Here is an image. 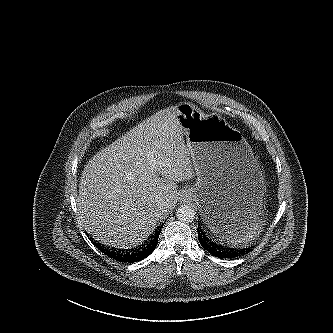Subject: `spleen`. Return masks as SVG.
I'll return each instance as SVG.
<instances>
[{
    "label": "spleen",
    "instance_id": "3e777b00",
    "mask_svg": "<svg viewBox=\"0 0 333 333\" xmlns=\"http://www.w3.org/2000/svg\"><path fill=\"white\" fill-rule=\"evenodd\" d=\"M262 222L253 224L246 229H240L236 231L229 232L228 240L234 244H247L258 237L260 230L262 228Z\"/></svg>",
    "mask_w": 333,
    "mask_h": 333
}]
</instances>
